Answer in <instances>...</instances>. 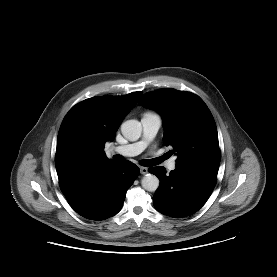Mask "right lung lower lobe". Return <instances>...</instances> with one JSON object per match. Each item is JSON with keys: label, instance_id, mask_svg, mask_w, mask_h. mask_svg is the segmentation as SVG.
Masks as SVG:
<instances>
[{"label": "right lung lower lobe", "instance_id": "obj_1", "mask_svg": "<svg viewBox=\"0 0 277 277\" xmlns=\"http://www.w3.org/2000/svg\"><path fill=\"white\" fill-rule=\"evenodd\" d=\"M139 172L130 161L120 165L111 161L59 181V185L79 215L90 220H104L121 209L126 191Z\"/></svg>", "mask_w": 277, "mask_h": 277}]
</instances>
